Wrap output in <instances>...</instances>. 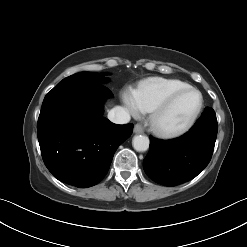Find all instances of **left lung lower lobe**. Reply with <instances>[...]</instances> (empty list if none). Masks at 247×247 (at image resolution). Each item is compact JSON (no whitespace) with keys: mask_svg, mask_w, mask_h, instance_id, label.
I'll return each mask as SVG.
<instances>
[{"mask_svg":"<svg viewBox=\"0 0 247 247\" xmlns=\"http://www.w3.org/2000/svg\"><path fill=\"white\" fill-rule=\"evenodd\" d=\"M218 123L212 108H205L189 132L172 140L150 137L143 161L146 174L155 182L176 186L196 177L210 162Z\"/></svg>","mask_w":247,"mask_h":247,"instance_id":"0a47b994","label":"left lung lower lobe"}]
</instances>
